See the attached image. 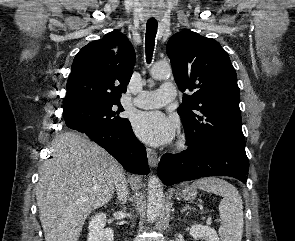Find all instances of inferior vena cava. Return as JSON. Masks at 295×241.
Masks as SVG:
<instances>
[{
    "label": "inferior vena cava",
    "mask_w": 295,
    "mask_h": 241,
    "mask_svg": "<svg viewBox=\"0 0 295 241\" xmlns=\"http://www.w3.org/2000/svg\"><path fill=\"white\" fill-rule=\"evenodd\" d=\"M114 183L116 186L119 200L122 201L123 203H125L127 200L128 190H127V186H126V182H125V177L122 174V172L117 173L114 176Z\"/></svg>",
    "instance_id": "obj_1"
}]
</instances>
